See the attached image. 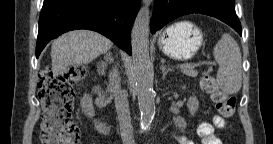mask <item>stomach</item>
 Returning a JSON list of instances; mask_svg holds the SVG:
<instances>
[{
	"instance_id": "0dacf381",
	"label": "stomach",
	"mask_w": 273,
	"mask_h": 144,
	"mask_svg": "<svg viewBox=\"0 0 273 144\" xmlns=\"http://www.w3.org/2000/svg\"><path fill=\"white\" fill-rule=\"evenodd\" d=\"M202 43V31L186 21L167 27L158 39V46L163 54L182 61L191 59Z\"/></svg>"
}]
</instances>
